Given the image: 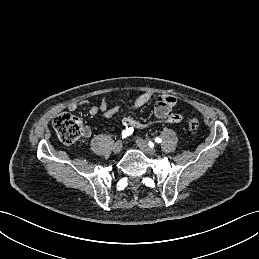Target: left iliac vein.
Wrapping results in <instances>:
<instances>
[{
  "label": "left iliac vein",
  "instance_id": "4c4485c4",
  "mask_svg": "<svg viewBox=\"0 0 259 259\" xmlns=\"http://www.w3.org/2000/svg\"><path fill=\"white\" fill-rule=\"evenodd\" d=\"M136 144L146 154H148V155H155L156 150L153 147H150L145 140H143L141 138H137L136 139Z\"/></svg>",
  "mask_w": 259,
  "mask_h": 259
}]
</instances>
